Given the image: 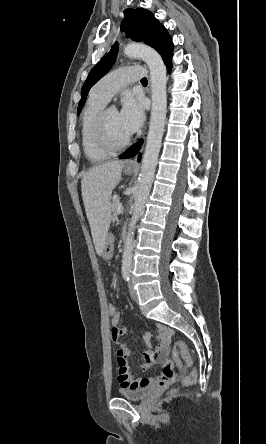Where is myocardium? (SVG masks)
<instances>
[{
    "label": "myocardium",
    "instance_id": "1",
    "mask_svg": "<svg viewBox=\"0 0 266 444\" xmlns=\"http://www.w3.org/2000/svg\"><path fill=\"white\" fill-rule=\"evenodd\" d=\"M110 109L111 108H104L96 117L91 129V139L97 148L107 152H117L126 148L130 144L131 135L120 144H113L105 137L104 126L107 113Z\"/></svg>",
    "mask_w": 266,
    "mask_h": 444
}]
</instances>
